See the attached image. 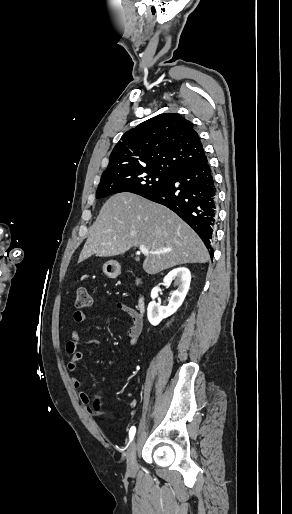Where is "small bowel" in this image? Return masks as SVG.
I'll use <instances>...</instances> for the list:
<instances>
[{"instance_id":"obj_1","label":"small bowel","mask_w":292,"mask_h":514,"mask_svg":"<svg viewBox=\"0 0 292 514\" xmlns=\"http://www.w3.org/2000/svg\"><path fill=\"white\" fill-rule=\"evenodd\" d=\"M101 305H113L118 310L127 314L132 319V325L127 330V337L129 338L131 344L135 346L139 340L143 328V320L141 316L138 314V312L124 302L113 301L112 299L106 297H97L93 299L91 302V306ZM87 317L88 314L85 310H76L73 314V319L76 323L84 322L87 319ZM83 344L84 342L81 339L79 331L77 329H72L70 332V339L67 341L65 346V352L67 355L70 356V360L67 363V371L70 374H72L76 370L77 363L83 359V353L79 351V347ZM89 344L94 347L101 346V342L97 339L90 341ZM70 381L75 389L80 388L81 382L79 379H77L74 376H71ZM124 396L126 398H129V404L131 406H134L136 404V401L134 400V397L132 396V393L130 391H126L124 393ZM78 397L83 404H87L89 401V396L84 391H79ZM85 409L87 411H90L92 409V406L90 404H87L85 406ZM112 409H115V406H112ZM102 412H106V409H102Z\"/></svg>"}]
</instances>
